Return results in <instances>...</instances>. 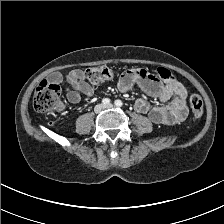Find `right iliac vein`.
<instances>
[{"label": "right iliac vein", "mask_w": 224, "mask_h": 224, "mask_svg": "<svg viewBox=\"0 0 224 224\" xmlns=\"http://www.w3.org/2000/svg\"><path fill=\"white\" fill-rule=\"evenodd\" d=\"M102 109H103V105L98 104L95 106L94 111H95V113H99Z\"/></svg>", "instance_id": "right-iliac-vein-1"}]
</instances>
